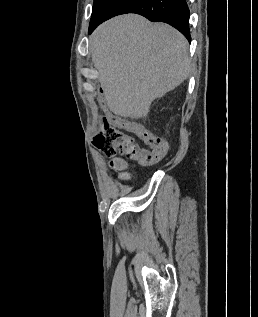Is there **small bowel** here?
<instances>
[{
    "label": "small bowel",
    "mask_w": 258,
    "mask_h": 317,
    "mask_svg": "<svg viewBox=\"0 0 258 317\" xmlns=\"http://www.w3.org/2000/svg\"><path fill=\"white\" fill-rule=\"evenodd\" d=\"M116 125L135 133L151 150L161 151L163 158L167 155L170 148L169 143L165 139L154 134L139 121L120 117L116 122ZM111 165L117 170H123L126 166L125 162L121 159L112 161ZM121 177L127 179L129 178V175L127 173H121Z\"/></svg>",
    "instance_id": "small-bowel-1"
}]
</instances>
